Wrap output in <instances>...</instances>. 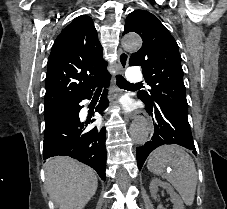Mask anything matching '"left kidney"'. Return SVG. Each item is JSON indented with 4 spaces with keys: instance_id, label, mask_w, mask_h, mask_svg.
<instances>
[{
    "instance_id": "1",
    "label": "left kidney",
    "mask_w": 227,
    "mask_h": 209,
    "mask_svg": "<svg viewBox=\"0 0 227 209\" xmlns=\"http://www.w3.org/2000/svg\"><path fill=\"white\" fill-rule=\"evenodd\" d=\"M158 187H162V189H165V191L169 193L170 201L171 203H173V209H185L181 197H179V195L175 193L173 187H171L169 183H164V181H160V179H152L150 183L149 189L151 197H153V199H157ZM158 209H164L163 205H158Z\"/></svg>"
}]
</instances>
